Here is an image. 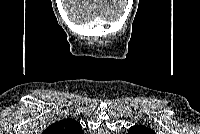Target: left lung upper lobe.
I'll return each instance as SVG.
<instances>
[{"label":"left lung upper lobe","instance_id":"5c2ea615","mask_svg":"<svg viewBox=\"0 0 200 134\" xmlns=\"http://www.w3.org/2000/svg\"><path fill=\"white\" fill-rule=\"evenodd\" d=\"M128 134H155V132L148 127L135 125L130 127Z\"/></svg>","mask_w":200,"mask_h":134}]
</instances>
